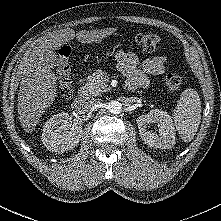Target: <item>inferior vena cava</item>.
Wrapping results in <instances>:
<instances>
[{"instance_id": "602c4592", "label": "inferior vena cava", "mask_w": 221, "mask_h": 221, "mask_svg": "<svg viewBox=\"0 0 221 221\" xmlns=\"http://www.w3.org/2000/svg\"><path fill=\"white\" fill-rule=\"evenodd\" d=\"M99 103H100L99 99H90L88 102L84 104L83 111L85 112L91 111Z\"/></svg>"}]
</instances>
